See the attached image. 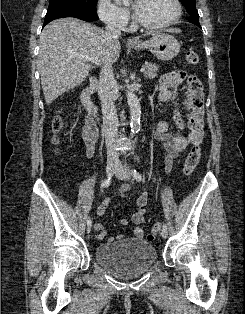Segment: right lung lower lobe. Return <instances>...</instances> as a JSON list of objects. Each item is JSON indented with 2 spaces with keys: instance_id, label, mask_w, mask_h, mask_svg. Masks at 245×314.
Wrapping results in <instances>:
<instances>
[{
  "instance_id": "98d812e1",
  "label": "right lung lower lobe",
  "mask_w": 245,
  "mask_h": 314,
  "mask_svg": "<svg viewBox=\"0 0 245 314\" xmlns=\"http://www.w3.org/2000/svg\"><path fill=\"white\" fill-rule=\"evenodd\" d=\"M64 17H75L88 22L98 20L96 12L94 13L80 9H55L47 11L43 27L52 20Z\"/></svg>"
}]
</instances>
